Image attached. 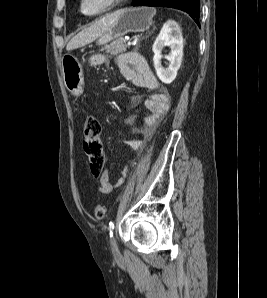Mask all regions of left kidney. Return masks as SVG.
<instances>
[{
    "mask_svg": "<svg viewBox=\"0 0 267 298\" xmlns=\"http://www.w3.org/2000/svg\"><path fill=\"white\" fill-rule=\"evenodd\" d=\"M168 46L169 55L165 58L169 61L168 67L163 68L161 64L162 49ZM152 50L154 52V67L158 78L165 84H170L177 76L183 57V37L180 26L173 20H168L162 27L156 38Z\"/></svg>",
    "mask_w": 267,
    "mask_h": 298,
    "instance_id": "left-kidney-1",
    "label": "left kidney"
}]
</instances>
